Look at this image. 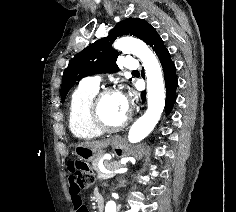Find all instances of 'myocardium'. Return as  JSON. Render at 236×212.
<instances>
[{"mask_svg": "<svg viewBox=\"0 0 236 212\" xmlns=\"http://www.w3.org/2000/svg\"><path fill=\"white\" fill-rule=\"evenodd\" d=\"M117 93V90L113 87H104L100 90L97 91V93L95 94V96L93 97L92 101H91V116L92 119L95 123V125L103 132H118L122 129H124L129 121H130V117L126 116L125 119L120 122L117 125H110L108 124L105 119L103 118V115L101 113V102L102 100L110 95V94H114Z\"/></svg>", "mask_w": 236, "mask_h": 212, "instance_id": "1", "label": "myocardium"}]
</instances>
